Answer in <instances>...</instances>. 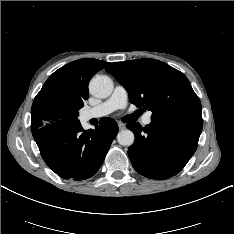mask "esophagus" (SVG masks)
Here are the masks:
<instances>
[{
	"instance_id": "1",
	"label": "esophagus",
	"mask_w": 234,
	"mask_h": 234,
	"mask_svg": "<svg viewBox=\"0 0 234 234\" xmlns=\"http://www.w3.org/2000/svg\"><path fill=\"white\" fill-rule=\"evenodd\" d=\"M118 127L120 130H124L126 128L125 124H123L121 122L118 123Z\"/></svg>"
}]
</instances>
